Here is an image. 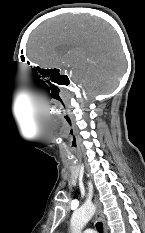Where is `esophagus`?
I'll use <instances>...</instances> for the list:
<instances>
[{
  "mask_svg": "<svg viewBox=\"0 0 145 233\" xmlns=\"http://www.w3.org/2000/svg\"><path fill=\"white\" fill-rule=\"evenodd\" d=\"M94 202H95V205H96V218L103 223V225H104V233H108V230H107V227H106V223H105L104 214H103V210H102V206L99 203V201H98V199H97L96 196L94 197Z\"/></svg>",
  "mask_w": 145,
  "mask_h": 233,
  "instance_id": "obj_1",
  "label": "esophagus"
}]
</instances>
